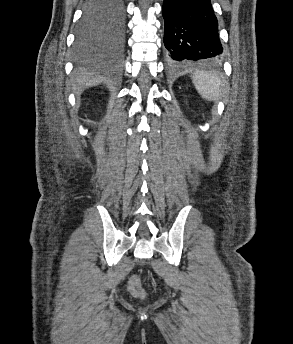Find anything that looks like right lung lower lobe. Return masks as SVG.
<instances>
[{
	"instance_id": "1",
	"label": "right lung lower lobe",
	"mask_w": 293,
	"mask_h": 344,
	"mask_svg": "<svg viewBox=\"0 0 293 344\" xmlns=\"http://www.w3.org/2000/svg\"><path fill=\"white\" fill-rule=\"evenodd\" d=\"M89 1V0H88ZM87 1V2H88ZM122 6H123V13H124V4H123V0H122ZM123 34H124V17H123V25H122V30L113 34V42L112 45L114 46H120L122 44L123 41Z\"/></svg>"
}]
</instances>
